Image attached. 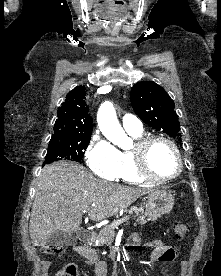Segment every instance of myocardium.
Masks as SVG:
<instances>
[{
	"mask_svg": "<svg viewBox=\"0 0 221 276\" xmlns=\"http://www.w3.org/2000/svg\"><path fill=\"white\" fill-rule=\"evenodd\" d=\"M156 141L166 142L173 149L177 158V171L174 174L169 176H157L150 170L147 153L150 145ZM132 155L138 175L147 181L167 182L177 178L183 169V160L179 147L172 139L163 135H148L139 138L136 141Z\"/></svg>",
	"mask_w": 221,
	"mask_h": 276,
	"instance_id": "myocardium-1",
	"label": "myocardium"
}]
</instances>
